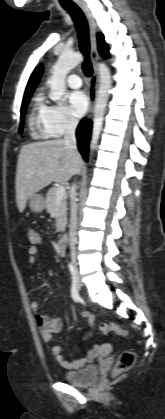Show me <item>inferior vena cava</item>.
<instances>
[{
    "mask_svg": "<svg viewBox=\"0 0 165 419\" xmlns=\"http://www.w3.org/2000/svg\"><path fill=\"white\" fill-rule=\"evenodd\" d=\"M78 125V120L69 117L66 124L64 142L68 148L74 153H77V144L75 131ZM71 202H70V224H69V242H70V255L73 265L76 268V243H77V201H76V184L71 187Z\"/></svg>",
    "mask_w": 165,
    "mask_h": 419,
    "instance_id": "obj_1",
    "label": "inferior vena cava"
}]
</instances>
